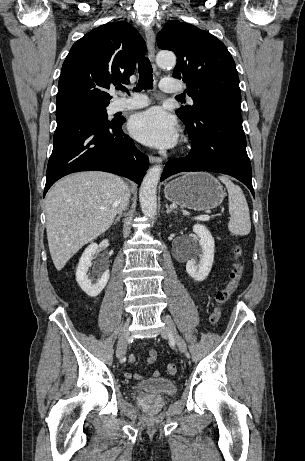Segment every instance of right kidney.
<instances>
[{"mask_svg": "<svg viewBox=\"0 0 305 461\" xmlns=\"http://www.w3.org/2000/svg\"><path fill=\"white\" fill-rule=\"evenodd\" d=\"M98 252V245L96 243L90 244L83 252L76 269V281L80 288L90 297H96L102 292L110 276L109 270L104 269L98 272V280L93 282L92 279L88 277L87 271L92 265L91 261L94 255Z\"/></svg>", "mask_w": 305, "mask_h": 461, "instance_id": "1", "label": "right kidney"}]
</instances>
